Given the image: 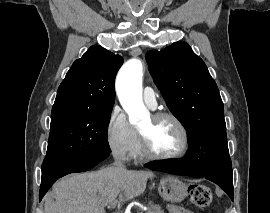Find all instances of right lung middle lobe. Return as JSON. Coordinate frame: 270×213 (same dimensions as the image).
<instances>
[{
  "mask_svg": "<svg viewBox=\"0 0 270 213\" xmlns=\"http://www.w3.org/2000/svg\"><path fill=\"white\" fill-rule=\"evenodd\" d=\"M111 111L63 110L51 113L47 154L42 166L110 153Z\"/></svg>",
  "mask_w": 270,
  "mask_h": 213,
  "instance_id": "right-lung-middle-lobe-1",
  "label": "right lung middle lobe"
}]
</instances>
